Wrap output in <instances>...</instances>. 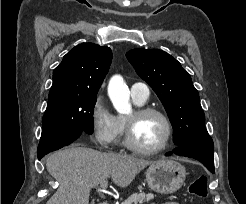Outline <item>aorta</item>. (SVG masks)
<instances>
[{"mask_svg":"<svg viewBox=\"0 0 246 204\" xmlns=\"http://www.w3.org/2000/svg\"><path fill=\"white\" fill-rule=\"evenodd\" d=\"M108 93L117 112L126 115L132 113V106L129 102L130 92L120 76H114L110 80Z\"/></svg>","mask_w":246,"mask_h":204,"instance_id":"762f6f07","label":"aorta"}]
</instances>
